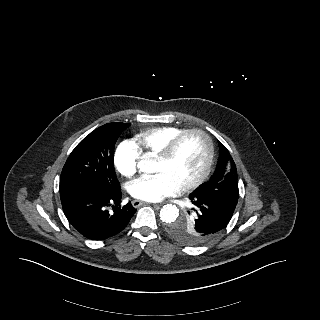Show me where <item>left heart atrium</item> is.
<instances>
[{"label":"left heart atrium","instance_id":"39dd6f15","mask_svg":"<svg viewBox=\"0 0 320 320\" xmlns=\"http://www.w3.org/2000/svg\"><path fill=\"white\" fill-rule=\"evenodd\" d=\"M178 190L176 183L163 173L152 177H141L129 185V193L133 198L150 202L175 195Z\"/></svg>","mask_w":320,"mask_h":320}]
</instances>
